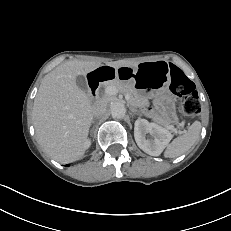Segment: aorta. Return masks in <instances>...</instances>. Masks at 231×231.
Returning a JSON list of instances; mask_svg holds the SVG:
<instances>
[{
	"mask_svg": "<svg viewBox=\"0 0 231 231\" xmlns=\"http://www.w3.org/2000/svg\"><path fill=\"white\" fill-rule=\"evenodd\" d=\"M111 115L113 118H123L126 114L125 105L121 102H114L110 106Z\"/></svg>",
	"mask_w": 231,
	"mask_h": 231,
	"instance_id": "aorta-1",
	"label": "aorta"
}]
</instances>
